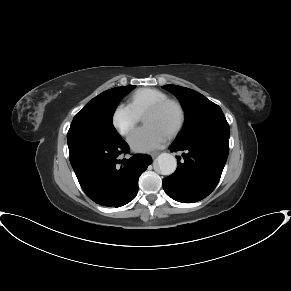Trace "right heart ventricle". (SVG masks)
I'll list each match as a JSON object with an SVG mask.
<instances>
[{
	"mask_svg": "<svg viewBox=\"0 0 291 291\" xmlns=\"http://www.w3.org/2000/svg\"><path fill=\"white\" fill-rule=\"evenodd\" d=\"M166 98H168L167 94L158 89L140 88L131 94L129 104L142 116L149 105Z\"/></svg>",
	"mask_w": 291,
	"mask_h": 291,
	"instance_id": "right-heart-ventricle-1",
	"label": "right heart ventricle"
}]
</instances>
